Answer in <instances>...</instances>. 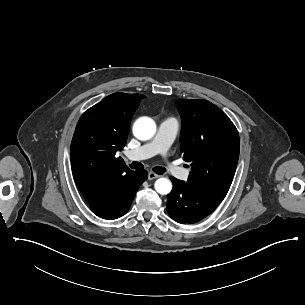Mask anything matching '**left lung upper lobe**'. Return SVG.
Listing matches in <instances>:
<instances>
[{"label":"left lung upper lobe","instance_id":"obj_1","mask_svg":"<svg viewBox=\"0 0 305 305\" xmlns=\"http://www.w3.org/2000/svg\"><path fill=\"white\" fill-rule=\"evenodd\" d=\"M183 159L191 162L190 186L226 195L235 175L239 134L227 115L207 100L180 99Z\"/></svg>","mask_w":305,"mask_h":305}]
</instances>
